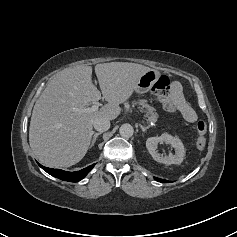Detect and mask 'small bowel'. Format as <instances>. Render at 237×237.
Returning a JSON list of instances; mask_svg holds the SVG:
<instances>
[{
  "mask_svg": "<svg viewBox=\"0 0 237 237\" xmlns=\"http://www.w3.org/2000/svg\"><path fill=\"white\" fill-rule=\"evenodd\" d=\"M172 98L176 103L183 119L189 123H194L197 119L195 110L186 102L182 94V87L179 83L175 82L171 87Z\"/></svg>",
  "mask_w": 237,
  "mask_h": 237,
  "instance_id": "small-bowel-1",
  "label": "small bowel"
}]
</instances>
